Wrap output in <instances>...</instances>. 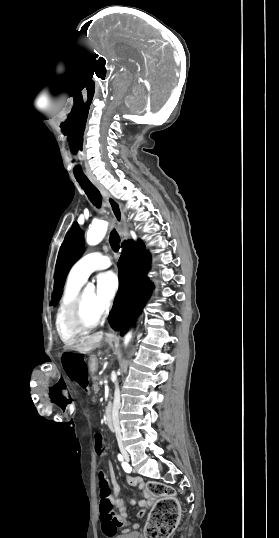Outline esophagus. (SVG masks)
<instances>
[{"label": "esophagus", "mask_w": 279, "mask_h": 538, "mask_svg": "<svg viewBox=\"0 0 279 538\" xmlns=\"http://www.w3.org/2000/svg\"><path fill=\"white\" fill-rule=\"evenodd\" d=\"M89 180L93 183V185L99 190L101 193L106 206L110 209L114 221L117 225V230L119 235L121 236L122 240H128L130 238V234L128 232V228L126 225V219L123 214L122 208L120 203L110 195V193L101 185V183L96 179L94 176H89ZM107 338L116 337V333L110 329L108 333L106 334Z\"/></svg>", "instance_id": "obj_1"}]
</instances>
